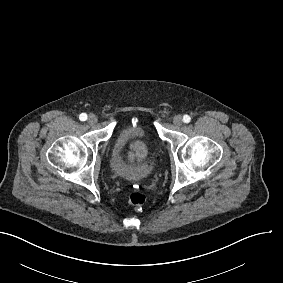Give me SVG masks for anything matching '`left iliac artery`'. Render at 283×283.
Instances as JSON below:
<instances>
[{"mask_svg": "<svg viewBox=\"0 0 283 283\" xmlns=\"http://www.w3.org/2000/svg\"><path fill=\"white\" fill-rule=\"evenodd\" d=\"M190 120H191L190 116H188V115H184V117H183V121H184L185 123H189V122H190Z\"/></svg>", "mask_w": 283, "mask_h": 283, "instance_id": "1", "label": "left iliac artery"}]
</instances>
